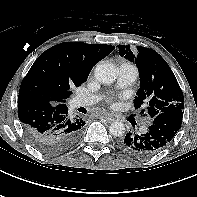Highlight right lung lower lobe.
Here are the masks:
<instances>
[{"label":"right lung lower lobe","mask_w":197,"mask_h":197,"mask_svg":"<svg viewBox=\"0 0 197 197\" xmlns=\"http://www.w3.org/2000/svg\"><path fill=\"white\" fill-rule=\"evenodd\" d=\"M18 117L28 137L42 151L58 154L72 148L80 139L85 122L72 117L65 104H52L45 98L20 91Z\"/></svg>","instance_id":"98d812e1"}]
</instances>
